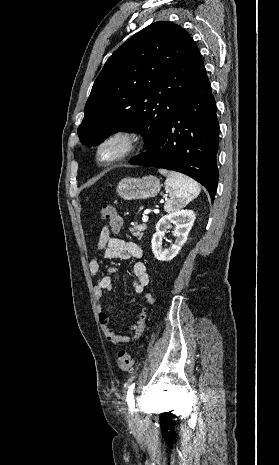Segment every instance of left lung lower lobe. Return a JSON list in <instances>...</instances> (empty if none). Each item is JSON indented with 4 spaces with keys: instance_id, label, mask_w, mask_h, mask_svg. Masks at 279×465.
<instances>
[{
    "instance_id": "1",
    "label": "left lung lower lobe",
    "mask_w": 279,
    "mask_h": 465,
    "mask_svg": "<svg viewBox=\"0 0 279 465\" xmlns=\"http://www.w3.org/2000/svg\"><path fill=\"white\" fill-rule=\"evenodd\" d=\"M219 125L204 64L200 65L178 113L164 133L131 164L181 172L201 183L214 201Z\"/></svg>"
}]
</instances>
